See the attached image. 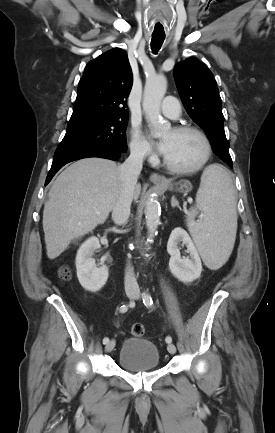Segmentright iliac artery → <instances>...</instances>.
<instances>
[{
    "label": "right iliac artery",
    "instance_id": "1",
    "mask_svg": "<svg viewBox=\"0 0 275 433\" xmlns=\"http://www.w3.org/2000/svg\"><path fill=\"white\" fill-rule=\"evenodd\" d=\"M132 305H133V302H130L129 305H127V304L122 305V306L120 307V312H121V313H125V312L128 310V307H129V306H132ZM108 342H109V338H108V337H105V338L103 339V344H107Z\"/></svg>",
    "mask_w": 275,
    "mask_h": 433
}]
</instances>
